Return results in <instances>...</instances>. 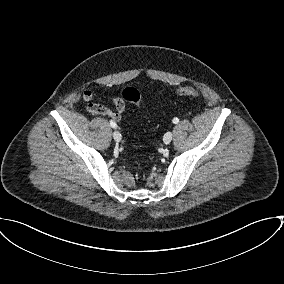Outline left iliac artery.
Returning a JSON list of instances; mask_svg holds the SVG:
<instances>
[{"instance_id": "left-iliac-artery-1", "label": "left iliac artery", "mask_w": 284, "mask_h": 284, "mask_svg": "<svg viewBox=\"0 0 284 284\" xmlns=\"http://www.w3.org/2000/svg\"><path fill=\"white\" fill-rule=\"evenodd\" d=\"M172 121H173L174 124H177L179 122V119L177 117H175Z\"/></svg>"}]
</instances>
